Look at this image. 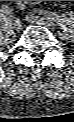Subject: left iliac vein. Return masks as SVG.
Wrapping results in <instances>:
<instances>
[{"mask_svg":"<svg viewBox=\"0 0 74 122\" xmlns=\"http://www.w3.org/2000/svg\"><path fill=\"white\" fill-rule=\"evenodd\" d=\"M27 19L30 23L46 26L49 29H52L54 26V24L48 18L32 15L29 16Z\"/></svg>","mask_w":74,"mask_h":122,"instance_id":"obj_1","label":"left iliac vein"}]
</instances>
